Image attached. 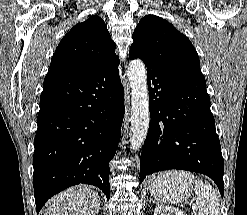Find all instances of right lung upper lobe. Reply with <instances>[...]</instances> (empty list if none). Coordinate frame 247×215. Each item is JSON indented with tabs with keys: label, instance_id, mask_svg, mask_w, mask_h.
<instances>
[{
	"label": "right lung upper lobe",
	"instance_id": "cb5924a9",
	"mask_svg": "<svg viewBox=\"0 0 247 215\" xmlns=\"http://www.w3.org/2000/svg\"><path fill=\"white\" fill-rule=\"evenodd\" d=\"M105 22L91 16L75 25L59 43L51 59L50 71L83 77L119 61Z\"/></svg>",
	"mask_w": 247,
	"mask_h": 215
}]
</instances>
